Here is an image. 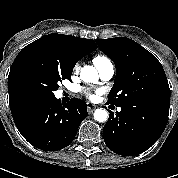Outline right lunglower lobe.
Instances as JSON below:
<instances>
[{
	"label": "right lung lower lobe",
	"mask_w": 178,
	"mask_h": 178,
	"mask_svg": "<svg viewBox=\"0 0 178 178\" xmlns=\"http://www.w3.org/2000/svg\"><path fill=\"white\" fill-rule=\"evenodd\" d=\"M9 103L19 132L30 144L45 151L67 147L88 115L86 103L78 98L61 104L55 96H15Z\"/></svg>",
	"instance_id": "obj_1"
}]
</instances>
